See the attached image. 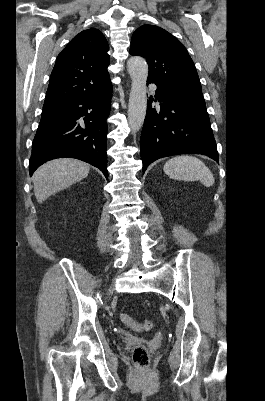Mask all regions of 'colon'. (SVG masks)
<instances>
[{
	"label": "colon",
	"mask_w": 265,
	"mask_h": 401,
	"mask_svg": "<svg viewBox=\"0 0 265 401\" xmlns=\"http://www.w3.org/2000/svg\"><path fill=\"white\" fill-rule=\"evenodd\" d=\"M120 320L138 331H149L153 326L149 320L135 321L127 314H121ZM132 361L138 370L144 371L149 365L148 350L143 345H136L132 349Z\"/></svg>",
	"instance_id": "obj_1"
}]
</instances>
